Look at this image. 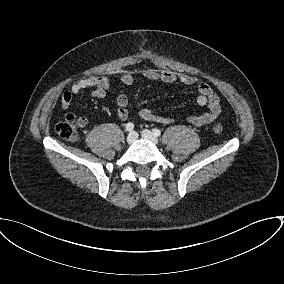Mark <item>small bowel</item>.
I'll use <instances>...</instances> for the list:
<instances>
[{
    "mask_svg": "<svg viewBox=\"0 0 284 284\" xmlns=\"http://www.w3.org/2000/svg\"><path fill=\"white\" fill-rule=\"evenodd\" d=\"M143 75L148 79L157 80L162 83L179 82L185 86L194 87L197 90V105L200 107H206L207 111L189 117L188 121L190 124L194 126L209 124L215 121L221 114L220 97L204 81L190 75L178 74L169 70L147 69L143 72ZM119 80L124 85H130L133 82V76L129 72L122 71L119 73ZM110 86L111 81L105 76H89L79 79L72 83L62 94V107L66 111L69 110L73 97L79 95L86 89L91 90L92 97L103 98ZM128 103V97L125 94H120L116 99V113L118 119L121 121H126L128 119ZM139 116L145 121L165 125L173 122L171 118L158 115L148 108L140 109ZM77 122L80 127H85L87 125V119L85 117H79Z\"/></svg>",
    "mask_w": 284,
    "mask_h": 284,
    "instance_id": "1",
    "label": "small bowel"
}]
</instances>
